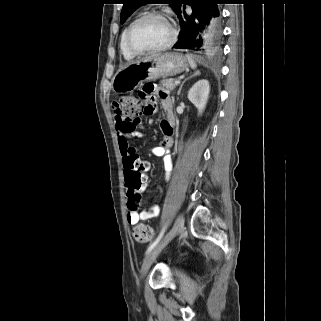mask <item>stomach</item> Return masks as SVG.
I'll use <instances>...</instances> for the list:
<instances>
[{
    "label": "stomach",
    "mask_w": 321,
    "mask_h": 321,
    "mask_svg": "<svg viewBox=\"0 0 321 321\" xmlns=\"http://www.w3.org/2000/svg\"><path fill=\"white\" fill-rule=\"evenodd\" d=\"M188 60L176 52L147 57L120 68L112 80L115 93H128L143 81L172 77L188 69Z\"/></svg>",
    "instance_id": "0dacf381"
}]
</instances>
